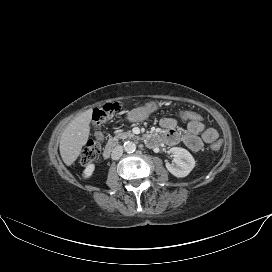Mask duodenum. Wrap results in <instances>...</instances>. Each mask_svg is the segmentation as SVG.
<instances>
[{"mask_svg":"<svg viewBox=\"0 0 272 272\" xmlns=\"http://www.w3.org/2000/svg\"><path fill=\"white\" fill-rule=\"evenodd\" d=\"M145 141L152 147L158 146L160 142V137L157 134H150L145 138ZM117 142L116 140H111L109 143L106 145L104 151H103V156L105 158H109L113 150L116 148Z\"/></svg>","mask_w":272,"mask_h":272,"instance_id":"410a0bca","label":"duodenum"}]
</instances>
